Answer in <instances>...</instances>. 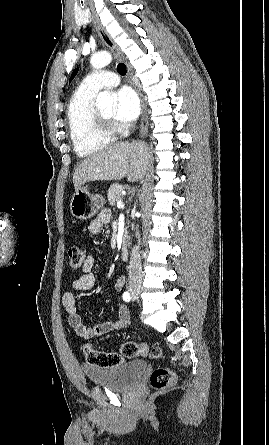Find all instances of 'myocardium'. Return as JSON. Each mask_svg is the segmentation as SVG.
<instances>
[{
    "label": "myocardium",
    "instance_id": "myocardium-1",
    "mask_svg": "<svg viewBox=\"0 0 269 445\" xmlns=\"http://www.w3.org/2000/svg\"><path fill=\"white\" fill-rule=\"evenodd\" d=\"M95 120L97 127L103 132H113L114 122L111 118H107L100 112L95 110Z\"/></svg>",
    "mask_w": 269,
    "mask_h": 445
}]
</instances>
